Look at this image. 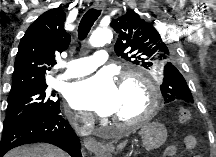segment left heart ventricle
Here are the masks:
<instances>
[{
	"label": "left heart ventricle",
	"mask_w": 216,
	"mask_h": 157,
	"mask_svg": "<svg viewBox=\"0 0 216 157\" xmlns=\"http://www.w3.org/2000/svg\"><path fill=\"white\" fill-rule=\"evenodd\" d=\"M147 107V91L137 82H127L119 87V103L114 118L132 120L139 117Z\"/></svg>",
	"instance_id": "1"
}]
</instances>
